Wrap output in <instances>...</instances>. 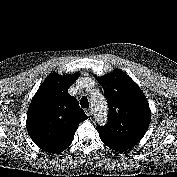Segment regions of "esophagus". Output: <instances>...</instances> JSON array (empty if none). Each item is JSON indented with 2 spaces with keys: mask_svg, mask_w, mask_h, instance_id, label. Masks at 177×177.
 <instances>
[{
  "mask_svg": "<svg viewBox=\"0 0 177 177\" xmlns=\"http://www.w3.org/2000/svg\"><path fill=\"white\" fill-rule=\"evenodd\" d=\"M85 113H86L88 116H91V115L93 114L92 109H90V108L85 109Z\"/></svg>",
  "mask_w": 177,
  "mask_h": 177,
  "instance_id": "esophagus-1",
  "label": "esophagus"
}]
</instances>
